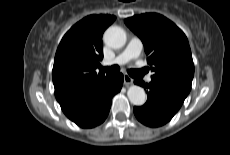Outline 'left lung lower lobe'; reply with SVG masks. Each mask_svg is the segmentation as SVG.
<instances>
[{"label":"left lung lower lobe","instance_id":"0a47b994","mask_svg":"<svg viewBox=\"0 0 230 155\" xmlns=\"http://www.w3.org/2000/svg\"><path fill=\"white\" fill-rule=\"evenodd\" d=\"M134 83L148 89L147 102L133 109L136 118L146 126L159 127L166 124L185 100V97L154 81L145 84L141 79H135Z\"/></svg>","mask_w":230,"mask_h":155}]
</instances>
